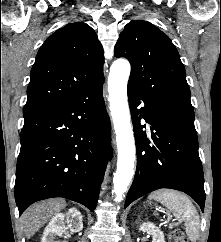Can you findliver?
Wrapping results in <instances>:
<instances>
[{"mask_svg": "<svg viewBox=\"0 0 221 242\" xmlns=\"http://www.w3.org/2000/svg\"><path fill=\"white\" fill-rule=\"evenodd\" d=\"M65 207L64 199H50L29 207L21 218L25 236L27 238L33 236L53 215Z\"/></svg>", "mask_w": 221, "mask_h": 242, "instance_id": "6515ba94", "label": "liver"}]
</instances>
